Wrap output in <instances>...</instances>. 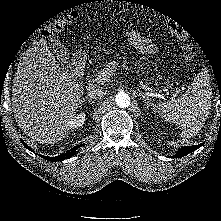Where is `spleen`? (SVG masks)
Masks as SVG:
<instances>
[{
	"label": "spleen",
	"instance_id": "1",
	"mask_svg": "<svg viewBox=\"0 0 221 221\" xmlns=\"http://www.w3.org/2000/svg\"><path fill=\"white\" fill-rule=\"evenodd\" d=\"M211 99L210 78L201 72L181 97L159 103L157 109L166 121L182 129V137L191 138L203 127L211 109Z\"/></svg>",
	"mask_w": 221,
	"mask_h": 221
}]
</instances>
